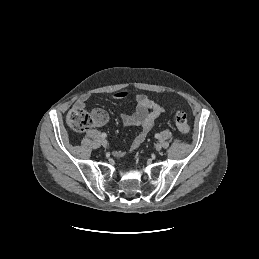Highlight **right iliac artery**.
<instances>
[{"mask_svg": "<svg viewBox=\"0 0 259 259\" xmlns=\"http://www.w3.org/2000/svg\"><path fill=\"white\" fill-rule=\"evenodd\" d=\"M101 136H102V138H106L107 134L106 133H102Z\"/></svg>", "mask_w": 259, "mask_h": 259, "instance_id": "82829eb1", "label": "right iliac artery"}]
</instances>
